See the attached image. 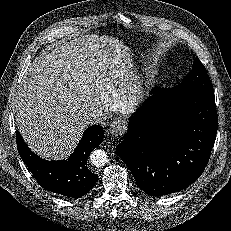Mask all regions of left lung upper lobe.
<instances>
[{
    "label": "left lung upper lobe",
    "instance_id": "1",
    "mask_svg": "<svg viewBox=\"0 0 231 231\" xmlns=\"http://www.w3.org/2000/svg\"><path fill=\"white\" fill-rule=\"evenodd\" d=\"M188 88H204L213 89L210 78L207 74L206 68L200 62L198 57L193 62V69L183 79V81L174 87L172 90L188 89ZM162 91H168L160 88Z\"/></svg>",
    "mask_w": 231,
    "mask_h": 231
}]
</instances>
